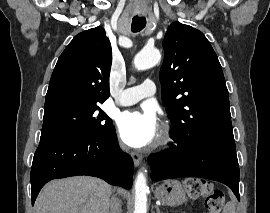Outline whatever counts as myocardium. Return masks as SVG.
Here are the masks:
<instances>
[{
	"label": "myocardium",
	"mask_w": 270,
	"mask_h": 213,
	"mask_svg": "<svg viewBox=\"0 0 270 213\" xmlns=\"http://www.w3.org/2000/svg\"><path fill=\"white\" fill-rule=\"evenodd\" d=\"M173 133L171 128L168 125H163L156 141V147H163L172 142Z\"/></svg>",
	"instance_id": "1"
}]
</instances>
